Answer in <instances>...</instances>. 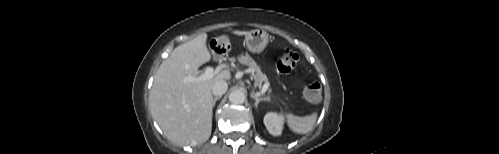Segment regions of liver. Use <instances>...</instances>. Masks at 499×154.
Masks as SVG:
<instances>
[{
	"instance_id": "1",
	"label": "liver",
	"mask_w": 499,
	"mask_h": 154,
	"mask_svg": "<svg viewBox=\"0 0 499 154\" xmlns=\"http://www.w3.org/2000/svg\"><path fill=\"white\" fill-rule=\"evenodd\" d=\"M248 31H234L246 35ZM207 34L177 46L158 68L150 91V109L165 136L178 145L204 143L211 135L212 86L230 80L224 70L204 81L185 82L187 76L199 77V67L211 60L206 45Z\"/></svg>"
}]
</instances>
